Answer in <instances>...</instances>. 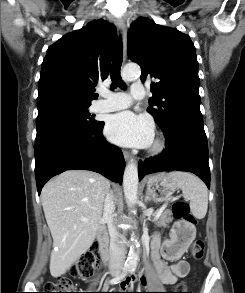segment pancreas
Wrapping results in <instances>:
<instances>
[{"mask_svg":"<svg viewBox=\"0 0 245 293\" xmlns=\"http://www.w3.org/2000/svg\"><path fill=\"white\" fill-rule=\"evenodd\" d=\"M172 222V217L169 211H165L157 221L158 226L166 227L168 223Z\"/></svg>","mask_w":245,"mask_h":293,"instance_id":"1","label":"pancreas"}]
</instances>
